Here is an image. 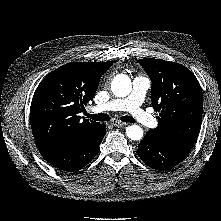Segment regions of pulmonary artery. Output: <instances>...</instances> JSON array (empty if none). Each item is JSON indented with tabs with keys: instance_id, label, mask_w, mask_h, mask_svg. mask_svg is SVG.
<instances>
[{
	"instance_id": "e3ab8cb5",
	"label": "pulmonary artery",
	"mask_w": 221,
	"mask_h": 221,
	"mask_svg": "<svg viewBox=\"0 0 221 221\" xmlns=\"http://www.w3.org/2000/svg\"><path fill=\"white\" fill-rule=\"evenodd\" d=\"M150 87V81L144 76H137L133 80L131 93L122 99H114L107 103L93 108L95 112L106 111H128L132 117L140 124L155 128L158 125L157 120L142 108L147 90Z\"/></svg>"
}]
</instances>
